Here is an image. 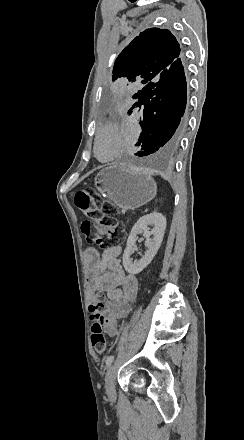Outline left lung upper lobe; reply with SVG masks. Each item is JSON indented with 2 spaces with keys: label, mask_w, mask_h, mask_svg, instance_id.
<instances>
[{
  "label": "left lung upper lobe",
  "mask_w": 244,
  "mask_h": 440,
  "mask_svg": "<svg viewBox=\"0 0 244 440\" xmlns=\"http://www.w3.org/2000/svg\"><path fill=\"white\" fill-rule=\"evenodd\" d=\"M180 57L179 43L169 30L146 29L117 57L112 81H139L146 85L179 62Z\"/></svg>",
  "instance_id": "1"
}]
</instances>
